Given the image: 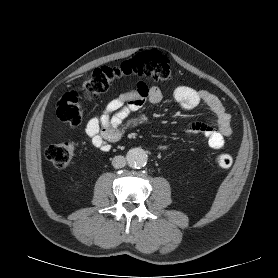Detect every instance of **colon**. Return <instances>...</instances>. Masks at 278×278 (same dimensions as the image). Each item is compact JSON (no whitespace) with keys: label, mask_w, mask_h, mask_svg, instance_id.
I'll use <instances>...</instances> for the list:
<instances>
[{"label":"colon","mask_w":278,"mask_h":278,"mask_svg":"<svg viewBox=\"0 0 278 278\" xmlns=\"http://www.w3.org/2000/svg\"><path fill=\"white\" fill-rule=\"evenodd\" d=\"M125 76L168 81L172 79L173 74L167 56L158 50L138 53L119 66L96 68L85 83L82 93L70 91L57 102L58 119L71 125H78L84 116V102L95 100L100 94L107 91L114 81ZM74 154L75 144L73 142L53 144L45 150L46 158L59 169L65 168ZM215 163L221 168H229L233 159L229 154L220 153L215 157Z\"/></svg>","instance_id":"1"}]
</instances>
